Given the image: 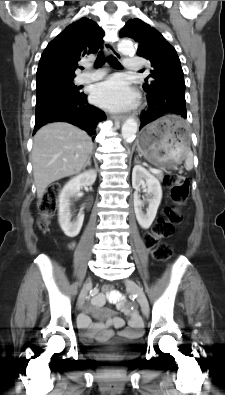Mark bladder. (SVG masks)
Wrapping results in <instances>:
<instances>
[{"label":"bladder","mask_w":225,"mask_h":395,"mask_svg":"<svg viewBox=\"0 0 225 395\" xmlns=\"http://www.w3.org/2000/svg\"><path fill=\"white\" fill-rule=\"evenodd\" d=\"M140 346H141V340L139 338H137L135 340L129 341L126 344V349L130 352H134V351L138 350L140 348Z\"/></svg>","instance_id":"obj_1"}]
</instances>
